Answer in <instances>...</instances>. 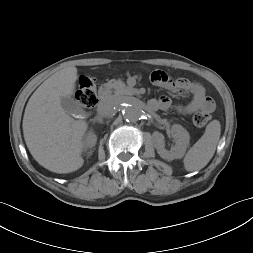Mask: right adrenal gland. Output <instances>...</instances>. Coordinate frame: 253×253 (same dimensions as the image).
<instances>
[{
    "label": "right adrenal gland",
    "instance_id": "right-adrenal-gland-1",
    "mask_svg": "<svg viewBox=\"0 0 253 253\" xmlns=\"http://www.w3.org/2000/svg\"><path fill=\"white\" fill-rule=\"evenodd\" d=\"M94 122H98V123H102V120H101V117H96L95 119H94Z\"/></svg>",
    "mask_w": 253,
    "mask_h": 253
}]
</instances>
